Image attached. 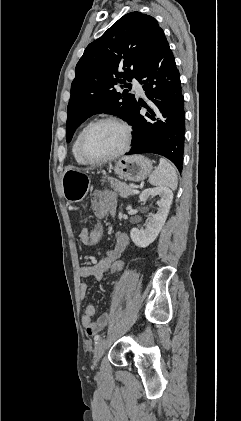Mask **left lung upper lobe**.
Instances as JSON below:
<instances>
[{
  "instance_id": "1",
  "label": "left lung upper lobe",
  "mask_w": 241,
  "mask_h": 421,
  "mask_svg": "<svg viewBox=\"0 0 241 421\" xmlns=\"http://www.w3.org/2000/svg\"><path fill=\"white\" fill-rule=\"evenodd\" d=\"M162 29L155 18L131 12L90 43L75 69L67 107L66 140L93 114L105 112L130 122L137 103L134 95L117 92L115 86L131 88L133 78L149 55Z\"/></svg>"
}]
</instances>
